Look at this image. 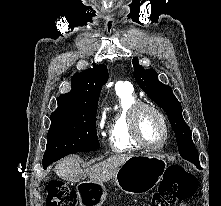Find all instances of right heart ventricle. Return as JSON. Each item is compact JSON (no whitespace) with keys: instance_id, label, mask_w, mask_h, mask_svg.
Segmentation results:
<instances>
[{"instance_id":"1","label":"right heart ventricle","mask_w":221,"mask_h":206,"mask_svg":"<svg viewBox=\"0 0 221 206\" xmlns=\"http://www.w3.org/2000/svg\"><path fill=\"white\" fill-rule=\"evenodd\" d=\"M118 108L108 122L109 143L114 152L139 150L140 146L133 140L129 117L132 106L138 102L133 91L116 86Z\"/></svg>"}]
</instances>
